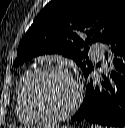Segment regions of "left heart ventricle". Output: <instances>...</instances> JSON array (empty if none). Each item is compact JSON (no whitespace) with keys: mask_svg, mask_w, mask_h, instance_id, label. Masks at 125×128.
<instances>
[{"mask_svg":"<svg viewBox=\"0 0 125 128\" xmlns=\"http://www.w3.org/2000/svg\"><path fill=\"white\" fill-rule=\"evenodd\" d=\"M31 96L34 103L43 111L60 113L74 101L76 91L72 81L58 73L40 75L32 84Z\"/></svg>","mask_w":125,"mask_h":128,"instance_id":"1","label":"left heart ventricle"}]
</instances>
